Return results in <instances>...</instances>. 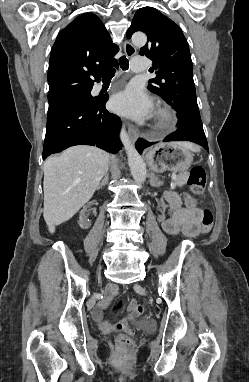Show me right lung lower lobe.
Masks as SVG:
<instances>
[{"mask_svg": "<svg viewBox=\"0 0 249 382\" xmlns=\"http://www.w3.org/2000/svg\"><path fill=\"white\" fill-rule=\"evenodd\" d=\"M113 66L117 67V62ZM108 96L95 97L83 106L67 108L47 117L43 159L74 145H92L116 154L120 118L109 113Z\"/></svg>", "mask_w": 249, "mask_h": 382, "instance_id": "98d812e1", "label": "right lung lower lobe"}]
</instances>
